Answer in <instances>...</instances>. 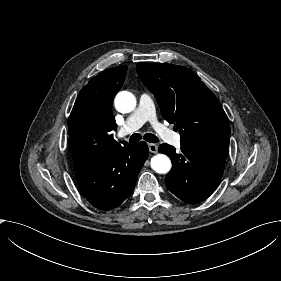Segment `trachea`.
Returning a JSON list of instances; mask_svg holds the SVG:
<instances>
[{
  "label": "trachea",
  "instance_id": "3493384b",
  "mask_svg": "<svg viewBox=\"0 0 281 281\" xmlns=\"http://www.w3.org/2000/svg\"><path fill=\"white\" fill-rule=\"evenodd\" d=\"M140 140H141V135L139 133H135V134L131 135V137H130V143H136ZM144 140H146L147 142H150V143L159 142V139L151 133H146L144 135Z\"/></svg>",
  "mask_w": 281,
  "mask_h": 281
}]
</instances>
